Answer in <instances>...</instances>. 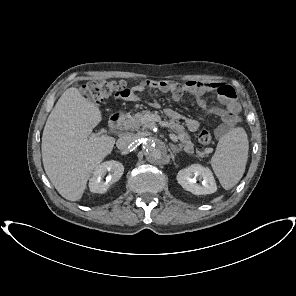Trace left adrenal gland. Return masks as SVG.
Listing matches in <instances>:
<instances>
[{
    "mask_svg": "<svg viewBox=\"0 0 296 296\" xmlns=\"http://www.w3.org/2000/svg\"><path fill=\"white\" fill-rule=\"evenodd\" d=\"M169 146H170V148L172 150V153H174V154H177V153H179V152L182 151V147L181 146L178 147V146L174 145L173 143H169Z\"/></svg>",
    "mask_w": 296,
    "mask_h": 296,
    "instance_id": "obj_1",
    "label": "left adrenal gland"
}]
</instances>
